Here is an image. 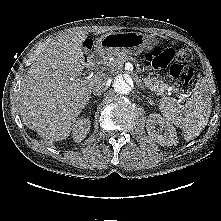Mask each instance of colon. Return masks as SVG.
<instances>
[{
	"label": "colon",
	"mask_w": 221,
	"mask_h": 221,
	"mask_svg": "<svg viewBox=\"0 0 221 221\" xmlns=\"http://www.w3.org/2000/svg\"><path fill=\"white\" fill-rule=\"evenodd\" d=\"M89 51L90 46H86ZM176 56V61L171 63L173 57ZM147 59L154 67L160 68L170 64L169 73L173 82L178 86H185L189 83L193 76L192 69L185 65L193 59V54L188 46H181L177 52L172 48L165 50L154 49L151 53L147 54Z\"/></svg>",
	"instance_id": "1"
}]
</instances>
